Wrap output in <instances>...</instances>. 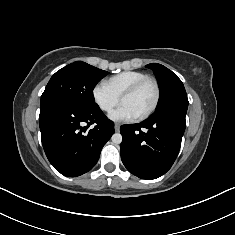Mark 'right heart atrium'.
Masks as SVG:
<instances>
[{
    "label": "right heart atrium",
    "instance_id": "right-heart-atrium-1",
    "mask_svg": "<svg viewBox=\"0 0 235 235\" xmlns=\"http://www.w3.org/2000/svg\"><path fill=\"white\" fill-rule=\"evenodd\" d=\"M95 104L103 112L109 113L119 103L120 98L108 87L106 82H99L92 89Z\"/></svg>",
    "mask_w": 235,
    "mask_h": 235
}]
</instances>
